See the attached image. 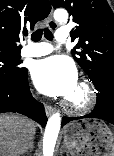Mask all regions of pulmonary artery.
Segmentation results:
<instances>
[{"mask_svg": "<svg viewBox=\"0 0 114 156\" xmlns=\"http://www.w3.org/2000/svg\"><path fill=\"white\" fill-rule=\"evenodd\" d=\"M69 37V31L66 28H59L56 32V40L58 42H66ZM53 50L52 46L47 43L29 42L21 50L23 57H41L48 55Z\"/></svg>", "mask_w": 114, "mask_h": 156, "instance_id": "pulmonary-artery-1", "label": "pulmonary artery"}]
</instances>
